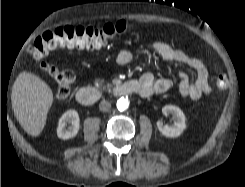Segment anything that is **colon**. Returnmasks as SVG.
I'll return each instance as SVG.
<instances>
[{
	"label": "colon",
	"instance_id": "colon-1",
	"mask_svg": "<svg viewBox=\"0 0 245 187\" xmlns=\"http://www.w3.org/2000/svg\"><path fill=\"white\" fill-rule=\"evenodd\" d=\"M131 28L126 21L109 23L102 27L66 26L47 31L37 37L28 48L38 68L57 82L56 97L65 99L70 94V87L75 79L72 70L47 63L43 57L61 47L95 49L105 45L110 40L123 35ZM216 85L224 90L227 80L224 75L217 77Z\"/></svg>",
	"mask_w": 245,
	"mask_h": 187
}]
</instances>
